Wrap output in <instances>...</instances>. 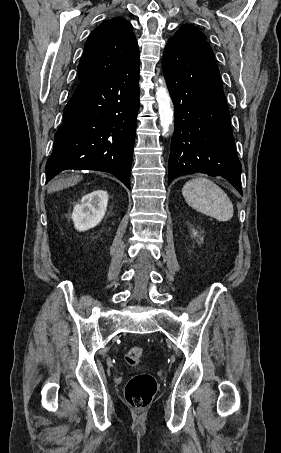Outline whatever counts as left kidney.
Returning a JSON list of instances; mask_svg holds the SVG:
<instances>
[{"instance_id": "obj_1", "label": "left kidney", "mask_w": 281, "mask_h": 453, "mask_svg": "<svg viewBox=\"0 0 281 453\" xmlns=\"http://www.w3.org/2000/svg\"><path fill=\"white\" fill-rule=\"evenodd\" d=\"M193 235H197L196 231H194ZM202 241H203V239H202Z\"/></svg>"}]
</instances>
